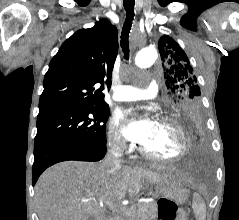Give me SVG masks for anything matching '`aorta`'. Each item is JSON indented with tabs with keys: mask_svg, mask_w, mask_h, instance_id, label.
Masks as SVG:
<instances>
[{
	"mask_svg": "<svg viewBox=\"0 0 239 220\" xmlns=\"http://www.w3.org/2000/svg\"><path fill=\"white\" fill-rule=\"evenodd\" d=\"M157 59V51L154 47L141 48L135 57V64L139 68L150 67Z\"/></svg>",
	"mask_w": 239,
	"mask_h": 220,
	"instance_id": "aorta-1",
	"label": "aorta"
}]
</instances>
